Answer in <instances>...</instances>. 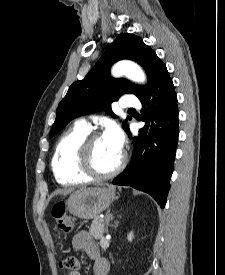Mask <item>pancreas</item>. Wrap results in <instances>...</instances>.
<instances>
[{
  "label": "pancreas",
  "mask_w": 225,
  "mask_h": 275,
  "mask_svg": "<svg viewBox=\"0 0 225 275\" xmlns=\"http://www.w3.org/2000/svg\"><path fill=\"white\" fill-rule=\"evenodd\" d=\"M89 233L95 239H101L105 233L104 220L98 217L94 218L91 227L89 228Z\"/></svg>",
  "instance_id": "1"
}]
</instances>
